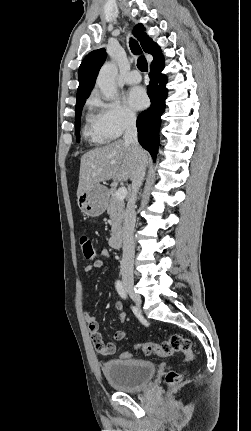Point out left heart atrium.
Returning <instances> with one entry per match:
<instances>
[{"instance_id": "39dd6f15", "label": "left heart atrium", "mask_w": 251, "mask_h": 431, "mask_svg": "<svg viewBox=\"0 0 251 431\" xmlns=\"http://www.w3.org/2000/svg\"><path fill=\"white\" fill-rule=\"evenodd\" d=\"M146 93L141 87L131 88L126 95V103L134 110H140L147 105Z\"/></svg>"}]
</instances>
